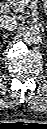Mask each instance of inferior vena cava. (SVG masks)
Here are the masks:
<instances>
[{"mask_svg":"<svg viewBox=\"0 0 47 129\" xmlns=\"http://www.w3.org/2000/svg\"><path fill=\"white\" fill-rule=\"evenodd\" d=\"M17 26H18L17 21L10 16H3L0 20L1 29L13 31L17 28Z\"/></svg>","mask_w":47,"mask_h":129,"instance_id":"602c4592","label":"inferior vena cava"}]
</instances>
